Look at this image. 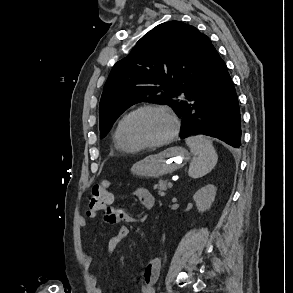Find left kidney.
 I'll return each instance as SVG.
<instances>
[{"label":"left kidney","mask_w":293,"mask_h":293,"mask_svg":"<svg viewBox=\"0 0 293 293\" xmlns=\"http://www.w3.org/2000/svg\"><path fill=\"white\" fill-rule=\"evenodd\" d=\"M217 188L213 184H208L200 188L194 195L197 209L200 213L209 210L215 200Z\"/></svg>","instance_id":"left-kidney-1"}]
</instances>
